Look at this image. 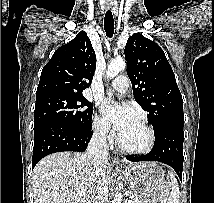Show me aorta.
Returning a JSON list of instances; mask_svg holds the SVG:
<instances>
[{"label":"aorta","mask_w":214,"mask_h":203,"mask_svg":"<svg viewBox=\"0 0 214 203\" xmlns=\"http://www.w3.org/2000/svg\"><path fill=\"white\" fill-rule=\"evenodd\" d=\"M126 68V62L122 57H117L111 61L108 65V69L106 72L107 79H112L118 75L119 72L123 71ZM109 99L111 98V94L108 93ZM122 195L117 192L115 194L113 203H121Z\"/></svg>","instance_id":"762f6f07"}]
</instances>
